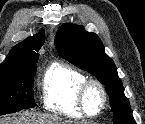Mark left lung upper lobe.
I'll use <instances>...</instances> for the list:
<instances>
[{
  "instance_id": "obj_1",
  "label": "left lung upper lobe",
  "mask_w": 145,
  "mask_h": 124,
  "mask_svg": "<svg viewBox=\"0 0 145 124\" xmlns=\"http://www.w3.org/2000/svg\"><path fill=\"white\" fill-rule=\"evenodd\" d=\"M55 46L63 58L96 76L106 86L114 124H136L117 69L95 33L87 32L81 26L64 24L56 34Z\"/></svg>"
}]
</instances>
